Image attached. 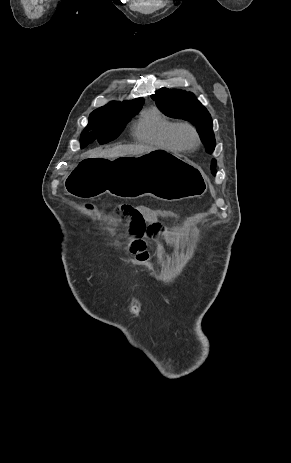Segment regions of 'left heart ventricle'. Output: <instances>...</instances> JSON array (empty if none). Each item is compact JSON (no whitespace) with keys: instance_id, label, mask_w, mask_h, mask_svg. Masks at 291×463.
<instances>
[{"instance_id":"left-heart-ventricle-1","label":"left heart ventricle","mask_w":291,"mask_h":463,"mask_svg":"<svg viewBox=\"0 0 291 463\" xmlns=\"http://www.w3.org/2000/svg\"><path fill=\"white\" fill-rule=\"evenodd\" d=\"M181 136H182L183 141L186 144H191L192 143V137L188 132L184 131Z\"/></svg>"}]
</instances>
